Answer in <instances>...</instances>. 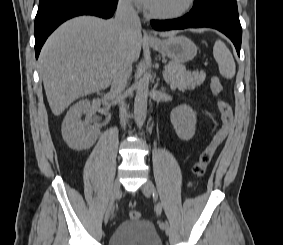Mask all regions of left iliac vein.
<instances>
[{
	"label": "left iliac vein",
	"mask_w": 283,
	"mask_h": 245,
	"mask_svg": "<svg viewBox=\"0 0 283 245\" xmlns=\"http://www.w3.org/2000/svg\"><path fill=\"white\" fill-rule=\"evenodd\" d=\"M141 190L146 197H150L152 195V193H154L155 188H154L153 183L151 181L147 180L141 186ZM160 228L163 229L167 234H169V229L163 228V227H160Z\"/></svg>",
	"instance_id": "4c4485c4"
}]
</instances>
